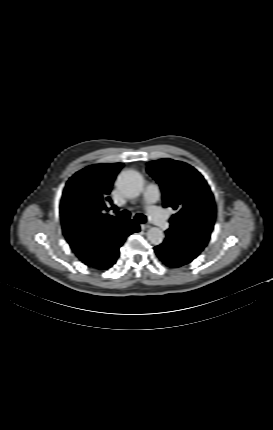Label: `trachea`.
Masks as SVG:
<instances>
[{
	"label": "trachea",
	"mask_w": 273,
	"mask_h": 430,
	"mask_svg": "<svg viewBox=\"0 0 273 430\" xmlns=\"http://www.w3.org/2000/svg\"><path fill=\"white\" fill-rule=\"evenodd\" d=\"M129 219H130V212H128L126 210L121 211L116 217H113V220H115L117 222H126ZM135 220L137 222L143 224L147 221V218L143 214H137L135 216Z\"/></svg>",
	"instance_id": "1"
}]
</instances>
